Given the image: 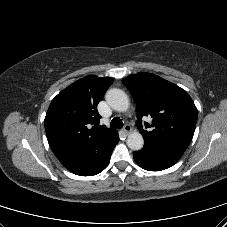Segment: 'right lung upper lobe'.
<instances>
[{"label":"right lung upper lobe","mask_w":227,"mask_h":227,"mask_svg":"<svg viewBox=\"0 0 227 227\" xmlns=\"http://www.w3.org/2000/svg\"><path fill=\"white\" fill-rule=\"evenodd\" d=\"M112 83L110 77L87 76L52 100L44 123L49 145L58 159L80 154L117 132L98 125L101 116L97 105Z\"/></svg>","instance_id":"obj_1"}]
</instances>
